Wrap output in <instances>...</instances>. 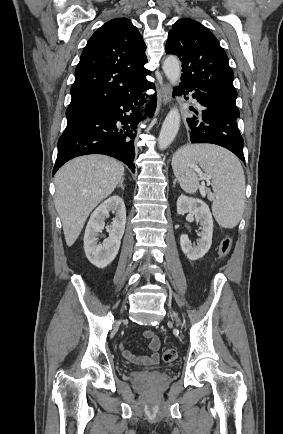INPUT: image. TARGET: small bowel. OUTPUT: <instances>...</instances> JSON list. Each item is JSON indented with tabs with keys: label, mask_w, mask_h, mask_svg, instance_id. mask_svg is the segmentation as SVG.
<instances>
[{
	"label": "small bowel",
	"mask_w": 283,
	"mask_h": 434,
	"mask_svg": "<svg viewBox=\"0 0 283 434\" xmlns=\"http://www.w3.org/2000/svg\"><path fill=\"white\" fill-rule=\"evenodd\" d=\"M143 336L146 339H149V350L150 355L147 356H135L129 350L125 349L123 345H121V353L122 356L133 364L152 366L157 365L160 361L159 349L161 346L160 338L151 330L147 329L143 332Z\"/></svg>",
	"instance_id": "small-bowel-1"
}]
</instances>
